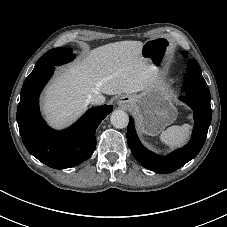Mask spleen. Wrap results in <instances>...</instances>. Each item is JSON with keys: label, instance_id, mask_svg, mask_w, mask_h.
Masks as SVG:
<instances>
[{"label": "spleen", "instance_id": "3e777b00", "mask_svg": "<svg viewBox=\"0 0 227 227\" xmlns=\"http://www.w3.org/2000/svg\"><path fill=\"white\" fill-rule=\"evenodd\" d=\"M190 128L189 124L171 126L161 133L160 139L172 148L178 147L188 139Z\"/></svg>", "mask_w": 227, "mask_h": 227}]
</instances>
